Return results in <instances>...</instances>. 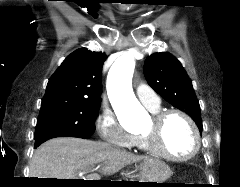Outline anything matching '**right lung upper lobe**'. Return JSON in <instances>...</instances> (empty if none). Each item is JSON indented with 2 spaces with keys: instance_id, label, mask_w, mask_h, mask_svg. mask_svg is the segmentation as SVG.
<instances>
[{
  "instance_id": "1",
  "label": "right lung upper lobe",
  "mask_w": 240,
  "mask_h": 187,
  "mask_svg": "<svg viewBox=\"0 0 240 187\" xmlns=\"http://www.w3.org/2000/svg\"><path fill=\"white\" fill-rule=\"evenodd\" d=\"M107 56L81 48L71 53L51 76L41 106L101 101V70Z\"/></svg>"
}]
</instances>
